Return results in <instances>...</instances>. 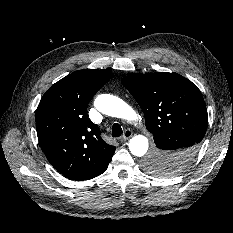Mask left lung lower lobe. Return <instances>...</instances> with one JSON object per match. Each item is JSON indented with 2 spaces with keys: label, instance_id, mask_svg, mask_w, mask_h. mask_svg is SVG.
I'll use <instances>...</instances> for the list:
<instances>
[{
  "label": "left lung lower lobe",
  "instance_id": "0a47b994",
  "mask_svg": "<svg viewBox=\"0 0 233 233\" xmlns=\"http://www.w3.org/2000/svg\"><path fill=\"white\" fill-rule=\"evenodd\" d=\"M159 150L171 153V162L180 168H186L195 157L193 140L178 133H159L153 136Z\"/></svg>",
  "mask_w": 233,
  "mask_h": 233
}]
</instances>
